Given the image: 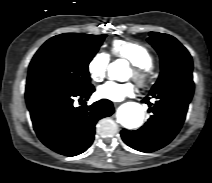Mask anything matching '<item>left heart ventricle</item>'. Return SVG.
<instances>
[{
	"instance_id": "obj_1",
	"label": "left heart ventricle",
	"mask_w": 212,
	"mask_h": 183,
	"mask_svg": "<svg viewBox=\"0 0 212 183\" xmlns=\"http://www.w3.org/2000/svg\"><path fill=\"white\" fill-rule=\"evenodd\" d=\"M133 77V73L132 70H130L129 74H128V78H132Z\"/></svg>"
}]
</instances>
